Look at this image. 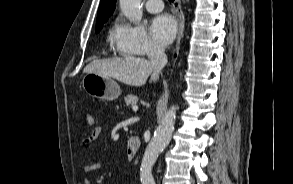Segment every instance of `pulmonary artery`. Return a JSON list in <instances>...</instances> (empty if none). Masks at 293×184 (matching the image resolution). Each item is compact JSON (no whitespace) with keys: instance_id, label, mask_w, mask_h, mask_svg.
<instances>
[{"instance_id":"pulmonary-artery-1","label":"pulmonary artery","mask_w":293,"mask_h":184,"mask_svg":"<svg viewBox=\"0 0 293 184\" xmlns=\"http://www.w3.org/2000/svg\"><path fill=\"white\" fill-rule=\"evenodd\" d=\"M146 10L150 13H158L163 10L162 0H148L145 4Z\"/></svg>"}]
</instances>
